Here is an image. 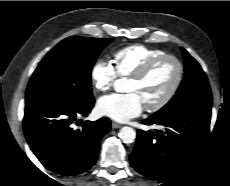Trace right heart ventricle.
Segmentation results:
<instances>
[{
  "mask_svg": "<svg viewBox=\"0 0 230 186\" xmlns=\"http://www.w3.org/2000/svg\"><path fill=\"white\" fill-rule=\"evenodd\" d=\"M165 54L164 51L141 44L129 45L117 50L112 56L116 74L130 77L149 60Z\"/></svg>",
  "mask_w": 230,
  "mask_h": 186,
  "instance_id": "1",
  "label": "right heart ventricle"
}]
</instances>
